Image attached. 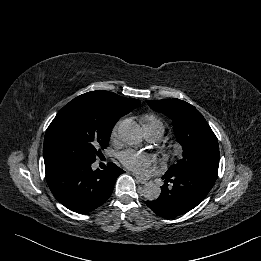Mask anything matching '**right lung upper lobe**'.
<instances>
[{
  "mask_svg": "<svg viewBox=\"0 0 261 261\" xmlns=\"http://www.w3.org/2000/svg\"><path fill=\"white\" fill-rule=\"evenodd\" d=\"M73 100H86L105 116L119 119L135 109L140 101L118 96L108 91H91Z\"/></svg>",
  "mask_w": 261,
  "mask_h": 261,
  "instance_id": "obj_1",
  "label": "right lung upper lobe"
}]
</instances>
